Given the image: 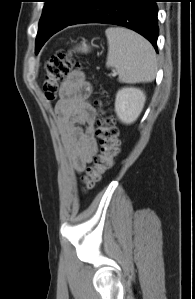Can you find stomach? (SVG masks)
I'll return each instance as SVG.
<instances>
[{"label":"stomach","instance_id":"0dacf381","mask_svg":"<svg viewBox=\"0 0 195 299\" xmlns=\"http://www.w3.org/2000/svg\"><path fill=\"white\" fill-rule=\"evenodd\" d=\"M78 52L87 53L89 51V46L85 43H82L80 46L76 47Z\"/></svg>","mask_w":195,"mask_h":299}]
</instances>
